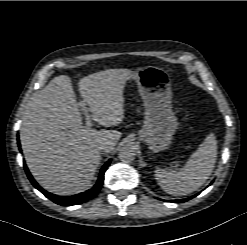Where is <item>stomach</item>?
<instances>
[{"label": "stomach", "instance_id": "stomach-1", "mask_svg": "<svg viewBox=\"0 0 247 245\" xmlns=\"http://www.w3.org/2000/svg\"><path fill=\"white\" fill-rule=\"evenodd\" d=\"M131 72L129 81H136L145 108L144 125L139 138L155 153L165 150L178 127L172 111L170 76L157 66L140 67Z\"/></svg>", "mask_w": 247, "mask_h": 245}]
</instances>
